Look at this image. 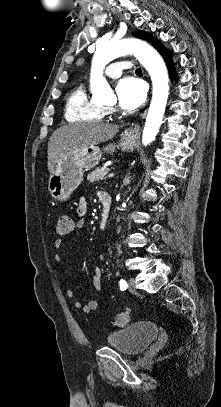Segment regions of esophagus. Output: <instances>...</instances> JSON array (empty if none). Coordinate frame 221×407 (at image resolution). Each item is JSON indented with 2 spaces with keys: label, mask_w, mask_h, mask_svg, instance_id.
<instances>
[{
  "label": "esophagus",
  "mask_w": 221,
  "mask_h": 407,
  "mask_svg": "<svg viewBox=\"0 0 221 407\" xmlns=\"http://www.w3.org/2000/svg\"><path fill=\"white\" fill-rule=\"evenodd\" d=\"M139 130H140V127H139L138 125H135V126H132V127L128 130V132H129V134L134 135V134H137V133L139 132Z\"/></svg>",
  "instance_id": "obj_1"
}]
</instances>
